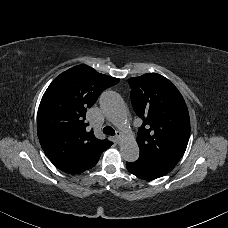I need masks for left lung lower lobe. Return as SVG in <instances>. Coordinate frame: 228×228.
Here are the masks:
<instances>
[{
  "label": "left lung lower lobe",
  "instance_id": "1",
  "mask_svg": "<svg viewBox=\"0 0 228 228\" xmlns=\"http://www.w3.org/2000/svg\"><path fill=\"white\" fill-rule=\"evenodd\" d=\"M176 164L140 154L135 162H127L126 167L132 174L145 180H153L169 173Z\"/></svg>",
  "mask_w": 228,
  "mask_h": 228
}]
</instances>
